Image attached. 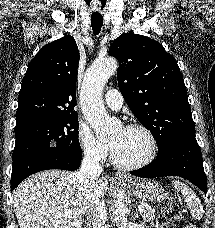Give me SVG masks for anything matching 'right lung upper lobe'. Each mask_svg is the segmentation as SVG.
Listing matches in <instances>:
<instances>
[{
	"mask_svg": "<svg viewBox=\"0 0 215 228\" xmlns=\"http://www.w3.org/2000/svg\"><path fill=\"white\" fill-rule=\"evenodd\" d=\"M79 57L77 44L70 35L41 48L22 81L16 123L77 115L74 107Z\"/></svg>",
	"mask_w": 215,
	"mask_h": 228,
	"instance_id": "cb5924a9",
	"label": "right lung upper lobe"
}]
</instances>
